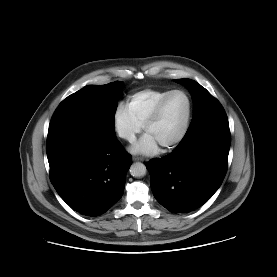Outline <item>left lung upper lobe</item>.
I'll return each mask as SVG.
<instances>
[{
    "label": "left lung upper lobe",
    "instance_id": "left-lung-upper-lobe-1",
    "mask_svg": "<svg viewBox=\"0 0 277 277\" xmlns=\"http://www.w3.org/2000/svg\"><path fill=\"white\" fill-rule=\"evenodd\" d=\"M175 81L186 85L193 96L194 116L186 135L209 121L226 117L219 101L199 83L190 79H175Z\"/></svg>",
    "mask_w": 277,
    "mask_h": 277
}]
</instances>
